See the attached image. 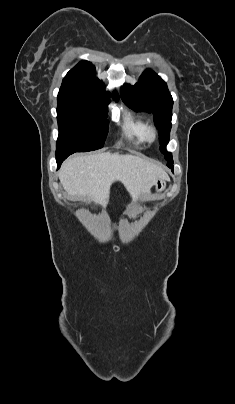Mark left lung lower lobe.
Masks as SVG:
<instances>
[{"instance_id":"1","label":"left lung lower lobe","mask_w":235,"mask_h":404,"mask_svg":"<svg viewBox=\"0 0 235 404\" xmlns=\"http://www.w3.org/2000/svg\"><path fill=\"white\" fill-rule=\"evenodd\" d=\"M167 166H168L170 169H173V165L168 164Z\"/></svg>"}]
</instances>
